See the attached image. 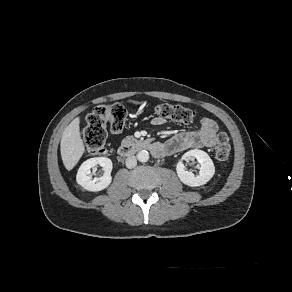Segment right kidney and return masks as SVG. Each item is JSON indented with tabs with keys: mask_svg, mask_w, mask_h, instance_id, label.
Wrapping results in <instances>:
<instances>
[{
	"mask_svg": "<svg viewBox=\"0 0 292 292\" xmlns=\"http://www.w3.org/2000/svg\"><path fill=\"white\" fill-rule=\"evenodd\" d=\"M96 165H100L103 167L104 175L100 178L92 179L91 168H94ZM111 171L112 161L109 158H90L81 164L77 172L76 181L84 189L92 192H98L107 188L110 185L112 181Z\"/></svg>",
	"mask_w": 292,
	"mask_h": 292,
	"instance_id": "obj_1",
	"label": "right kidney"
}]
</instances>
